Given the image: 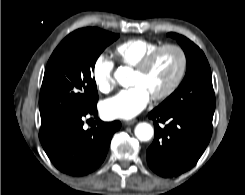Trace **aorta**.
Returning a JSON list of instances; mask_svg holds the SVG:
<instances>
[{
    "label": "aorta",
    "instance_id": "1",
    "mask_svg": "<svg viewBox=\"0 0 245 195\" xmlns=\"http://www.w3.org/2000/svg\"><path fill=\"white\" fill-rule=\"evenodd\" d=\"M114 76L120 85H126L127 71L125 68H118ZM134 133L140 141H149L154 135V129L150 124L141 122L136 125Z\"/></svg>",
    "mask_w": 245,
    "mask_h": 195
}]
</instances>
